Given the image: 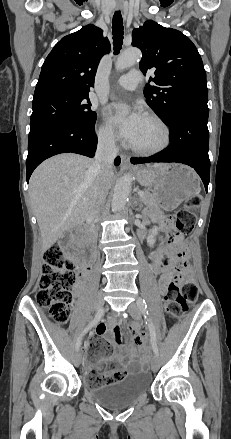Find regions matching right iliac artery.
<instances>
[{
    "instance_id": "1",
    "label": "right iliac artery",
    "mask_w": 231,
    "mask_h": 439,
    "mask_svg": "<svg viewBox=\"0 0 231 439\" xmlns=\"http://www.w3.org/2000/svg\"><path fill=\"white\" fill-rule=\"evenodd\" d=\"M99 320H97L96 316L94 318V320H92L87 327L84 329L83 333L80 335V337L77 339L76 342V350H78L80 348L81 345V340H82V336L87 333L93 326H95L98 323Z\"/></svg>"
}]
</instances>
